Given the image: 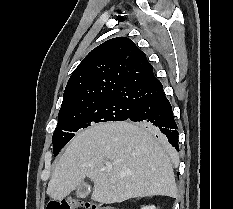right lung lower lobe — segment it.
I'll return each instance as SVG.
<instances>
[{
	"label": "right lung lower lobe",
	"mask_w": 233,
	"mask_h": 209,
	"mask_svg": "<svg viewBox=\"0 0 233 209\" xmlns=\"http://www.w3.org/2000/svg\"><path fill=\"white\" fill-rule=\"evenodd\" d=\"M128 120L150 125L156 133H163L169 143L179 151L177 125L170 102L163 90L154 97L140 103Z\"/></svg>",
	"instance_id": "right-lung-lower-lobe-1"
}]
</instances>
